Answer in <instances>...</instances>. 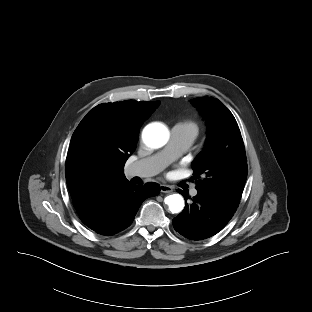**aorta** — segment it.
Listing matches in <instances>:
<instances>
[{
  "label": "aorta",
  "instance_id": "762f6f07",
  "mask_svg": "<svg viewBox=\"0 0 312 312\" xmlns=\"http://www.w3.org/2000/svg\"><path fill=\"white\" fill-rule=\"evenodd\" d=\"M142 138L147 146L160 148L167 143L169 132L163 125L150 124L143 130ZM165 204L168 205L172 213H179L184 208V199L179 194H172L165 198Z\"/></svg>",
  "mask_w": 312,
  "mask_h": 312
}]
</instances>
